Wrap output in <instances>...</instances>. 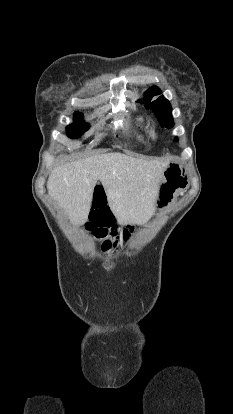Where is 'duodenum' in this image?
<instances>
[{
  "label": "duodenum",
  "instance_id": "duodenum-1",
  "mask_svg": "<svg viewBox=\"0 0 233 414\" xmlns=\"http://www.w3.org/2000/svg\"><path fill=\"white\" fill-rule=\"evenodd\" d=\"M93 192L96 196L94 198L95 204L92 205V210L99 212H108L110 210V205L106 203L107 198L104 195L105 190L103 189V185L95 184Z\"/></svg>",
  "mask_w": 233,
  "mask_h": 414
}]
</instances>
